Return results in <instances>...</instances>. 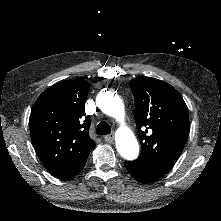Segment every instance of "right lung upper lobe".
<instances>
[{
  "mask_svg": "<svg viewBox=\"0 0 221 221\" xmlns=\"http://www.w3.org/2000/svg\"><path fill=\"white\" fill-rule=\"evenodd\" d=\"M89 85L85 80H67L49 87L35 102L30 117L33 146L47 170L68 179L85 166L95 147L89 137L90 120L83 122Z\"/></svg>",
  "mask_w": 221,
  "mask_h": 221,
  "instance_id": "right-lung-upper-lobe-1",
  "label": "right lung upper lobe"
}]
</instances>
